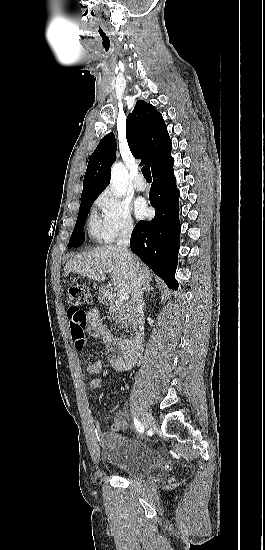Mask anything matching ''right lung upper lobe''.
Returning <instances> with one entry per match:
<instances>
[{
  "label": "right lung upper lobe",
  "mask_w": 265,
  "mask_h": 550,
  "mask_svg": "<svg viewBox=\"0 0 265 550\" xmlns=\"http://www.w3.org/2000/svg\"><path fill=\"white\" fill-rule=\"evenodd\" d=\"M126 136L133 156L142 158L141 165L148 164L152 170L171 154L172 144L162 115L143 100L136 102L127 117ZM115 151V136L109 133L89 159L81 199L97 198L107 187L110 169L116 159Z\"/></svg>",
  "instance_id": "cb5924a9"
}]
</instances>
